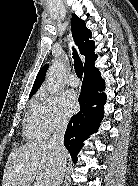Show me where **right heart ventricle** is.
Masks as SVG:
<instances>
[{"mask_svg":"<svg viewBox=\"0 0 138 186\" xmlns=\"http://www.w3.org/2000/svg\"><path fill=\"white\" fill-rule=\"evenodd\" d=\"M41 108L42 104L38 99H33L23 126V133L29 140H41L48 136L41 123Z\"/></svg>","mask_w":138,"mask_h":186,"instance_id":"right-heart-ventricle-1","label":"right heart ventricle"}]
</instances>
